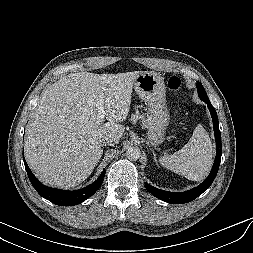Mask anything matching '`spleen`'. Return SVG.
<instances>
[{"mask_svg": "<svg viewBox=\"0 0 253 253\" xmlns=\"http://www.w3.org/2000/svg\"><path fill=\"white\" fill-rule=\"evenodd\" d=\"M213 147L201 124L183 148L160 159L162 166L192 181L202 180L212 166Z\"/></svg>", "mask_w": 253, "mask_h": 253, "instance_id": "obj_1", "label": "spleen"}]
</instances>
